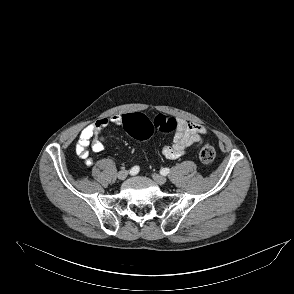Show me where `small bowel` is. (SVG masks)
<instances>
[{
  "instance_id": "c3829d8e",
  "label": "small bowel",
  "mask_w": 294,
  "mask_h": 294,
  "mask_svg": "<svg viewBox=\"0 0 294 294\" xmlns=\"http://www.w3.org/2000/svg\"><path fill=\"white\" fill-rule=\"evenodd\" d=\"M176 122V132L172 144L166 145L162 149V154L171 160L182 157L188 148L199 146L202 142V136L206 133L205 127L200 124L184 119H178ZM122 124L123 115H112L86 126L81 131L76 144L77 155L84 160L86 165H93L94 159L90 156L88 148L91 147L94 152L103 151L105 148L104 129L110 125L121 126Z\"/></svg>"
}]
</instances>
